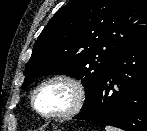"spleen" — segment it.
Segmentation results:
<instances>
[{"instance_id":"3e777b00","label":"spleen","mask_w":147,"mask_h":131,"mask_svg":"<svg viewBox=\"0 0 147 131\" xmlns=\"http://www.w3.org/2000/svg\"><path fill=\"white\" fill-rule=\"evenodd\" d=\"M105 130L106 131H119L118 129H116V128L112 127V126H106Z\"/></svg>"}]
</instances>
